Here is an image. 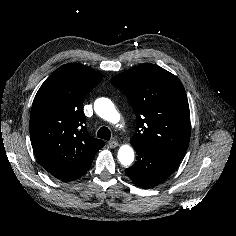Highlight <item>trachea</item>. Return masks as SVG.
Segmentation results:
<instances>
[{
    "label": "trachea",
    "mask_w": 236,
    "mask_h": 236,
    "mask_svg": "<svg viewBox=\"0 0 236 236\" xmlns=\"http://www.w3.org/2000/svg\"><path fill=\"white\" fill-rule=\"evenodd\" d=\"M97 137L108 141L111 138V132L107 127H101L97 132Z\"/></svg>",
    "instance_id": "3493384b"
}]
</instances>
